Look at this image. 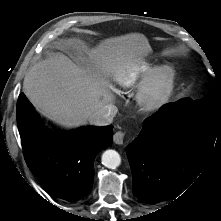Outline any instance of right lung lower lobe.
I'll use <instances>...</instances> for the list:
<instances>
[{
    "mask_svg": "<svg viewBox=\"0 0 221 221\" xmlns=\"http://www.w3.org/2000/svg\"><path fill=\"white\" fill-rule=\"evenodd\" d=\"M17 123L26 163L44 187L69 202L86 196L93 184L95 156L111 146L113 126L67 133L46 130L23 93L17 101Z\"/></svg>",
    "mask_w": 221,
    "mask_h": 221,
    "instance_id": "98d812e1",
    "label": "right lung lower lobe"
}]
</instances>
